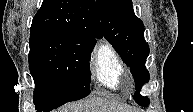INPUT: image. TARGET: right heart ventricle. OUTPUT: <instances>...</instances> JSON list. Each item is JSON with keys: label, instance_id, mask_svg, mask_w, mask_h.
<instances>
[{"label": "right heart ventricle", "instance_id": "1", "mask_svg": "<svg viewBox=\"0 0 193 112\" xmlns=\"http://www.w3.org/2000/svg\"><path fill=\"white\" fill-rule=\"evenodd\" d=\"M90 69L95 80L102 86L119 90L125 78L123 60L116 48L107 41H103L95 48Z\"/></svg>", "mask_w": 193, "mask_h": 112}]
</instances>
